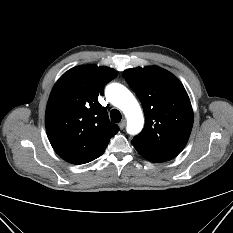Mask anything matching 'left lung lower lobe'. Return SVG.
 Returning a JSON list of instances; mask_svg holds the SVG:
<instances>
[{
  "mask_svg": "<svg viewBox=\"0 0 233 233\" xmlns=\"http://www.w3.org/2000/svg\"><path fill=\"white\" fill-rule=\"evenodd\" d=\"M138 153L151 162H165L175 158L182 150L149 147L132 142Z\"/></svg>",
  "mask_w": 233,
  "mask_h": 233,
  "instance_id": "obj_1",
  "label": "left lung lower lobe"
}]
</instances>
